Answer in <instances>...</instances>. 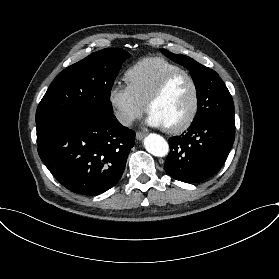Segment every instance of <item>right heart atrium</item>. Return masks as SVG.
<instances>
[{
    "instance_id": "1",
    "label": "right heart atrium",
    "mask_w": 279,
    "mask_h": 279,
    "mask_svg": "<svg viewBox=\"0 0 279 279\" xmlns=\"http://www.w3.org/2000/svg\"><path fill=\"white\" fill-rule=\"evenodd\" d=\"M108 102L122 126H129L146 110V102L128 84L114 83L108 91Z\"/></svg>"
}]
</instances>
